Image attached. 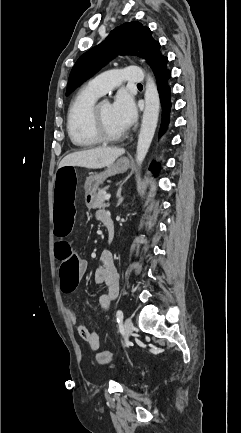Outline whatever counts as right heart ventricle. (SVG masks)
<instances>
[{
	"label": "right heart ventricle",
	"mask_w": 241,
	"mask_h": 433,
	"mask_svg": "<svg viewBox=\"0 0 241 433\" xmlns=\"http://www.w3.org/2000/svg\"><path fill=\"white\" fill-rule=\"evenodd\" d=\"M99 96L86 87L72 101L67 117L71 142L79 148H91L100 143L91 128V112Z\"/></svg>",
	"instance_id": "obj_1"
}]
</instances>
